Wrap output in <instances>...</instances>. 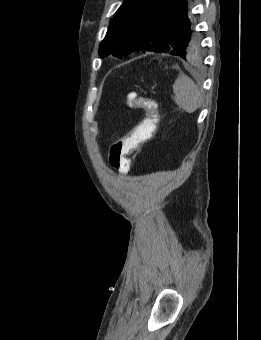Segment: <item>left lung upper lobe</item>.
<instances>
[{
	"instance_id": "1",
	"label": "left lung upper lobe",
	"mask_w": 261,
	"mask_h": 340,
	"mask_svg": "<svg viewBox=\"0 0 261 340\" xmlns=\"http://www.w3.org/2000/svg\"><path fill=\"white\" fill-rule=\"evenodd\" d=\"M165 1L125 0L110 20L99 55L163 50L184 60L200 57L201 38L191 10L177 21L168 19L167 13L160 11Z\"/></svg>"
}]
</instances>
